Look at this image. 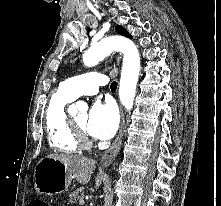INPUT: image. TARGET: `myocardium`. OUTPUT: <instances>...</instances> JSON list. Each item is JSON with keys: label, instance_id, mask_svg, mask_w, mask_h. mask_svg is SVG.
<instances>
[{"label": "myocardium", "instance_id": "f54148a6", "mask_svg": "<svg viewBox=\"0 0 221 206\" xmlns=\"http://www.w3.org/2000/svg\"><path fill=\"white\" fill-rule=\"evenodd\" d=\"M70 122H71L73 130L76 134L79 146L82 147V148H90L92 143L89 140V138H88V136L85 132V129L80 127L73 118H70Z\"/></svg>", "mask_w": 221, "mask_h": 206}]
</instances>
